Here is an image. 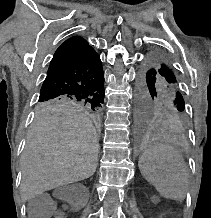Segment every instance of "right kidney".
<instances>
[{
    "label": "right kidney",
    "mask_w": 211,
    "mask_h": 218,
    "mask_svg": "<svg viewBox=\"0 0 211 218\" xmlns=\"http://www.w3.org/2000/svg\"><path fill=\"white\" fill-rule=\"evenodd\" d=\"M63 211H72V207L63 206ZM64 218H69V215H64Z\"/></svg>",
    "instance_id": "obj_1"
}]
</instances>
